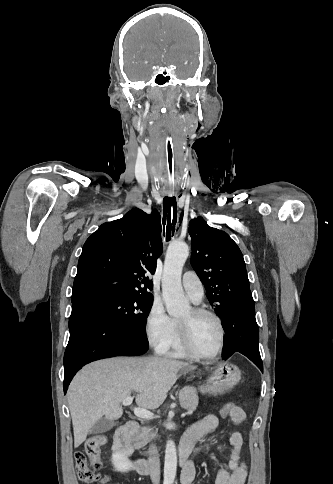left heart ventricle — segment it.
Masks as SVG:
<instances>
[{"label":"left heart ventricle","instance_id":"obj_1","mask_svg":"<svg viewBox=\"0 0 333 484\" xmlns=\"http://www.w3.org/2000/svg\"><path fill=\"white\" fill-rule=\"evenodd\" d=\"M179 320L190 323L193 345L199 353L210 355L216 350L219 342V328L211 317H193L190 309Z\"/></svg>","mask_w":333,"mask_h":484}]
</instances>
